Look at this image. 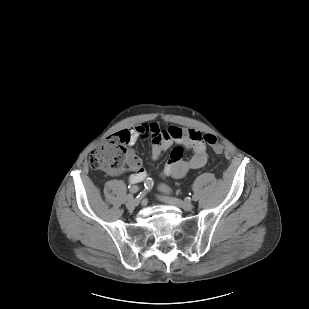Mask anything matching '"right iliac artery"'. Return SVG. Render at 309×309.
Segmentation results:
<instances>
[{"mask_svg": "<svg viewBox=\"0 0 309 309\" xmlns=\"http://www.w3.org/2000/svg\"><path fill=\"white\" fill-rule=\"evenodd\" d=\"M143 186H144V189H142L140 191V193L137 195V196H134V195H127V201H132L134 203H139V201L142 199V197L145 195V193H148L150 191V189L152 188L153 186V181L151 178H147L143 181Z\"/></svg>", "mask_w": 309, "mask_h": 309, "instance_id": "obj_1", "label": "right iliac artery"}]
</instances>
